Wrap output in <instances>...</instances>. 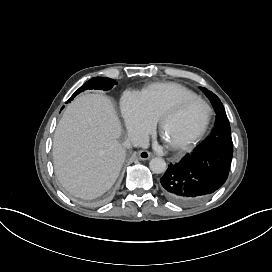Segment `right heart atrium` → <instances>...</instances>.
<instances>
[{
	"label": "right heart atrium",
	"instance_id": "right-heart-atrium-1",
	"mask_svg": "<svg viewBox=\"0 0 272 272\" xmlns=\"http://www.w3.org/2000/svg\"><path fill=\"white\" fill-rule=\"evenodd\" d=\"M126 125L130 132L148 131L155 123V118L144 108L137 94L126 92L123 95Z\"/></svg>",
	"mask_w": 272,
	"mask_h": 272
}]
</instances>
